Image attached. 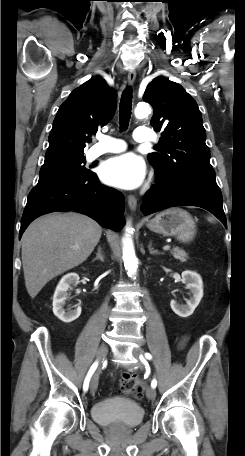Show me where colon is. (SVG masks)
I'll return each instance as SVG.
<instances>
[{"instance_id": "obj_1", "label": "colon", "mask_w": 245, "mask_h": 456, "mask_svg": "<svg viewBox=\"0 0 245 456\" xmlns=\"http://www.w3.org/2000/svg\"><path fill=\"white\" fill-rule=\"evenodd\" d=\"M120 386L123 391L136 390L137 395H141V388L138 386V377L136 373H124L120 379Z\"/></svg>"}]
</instances>
